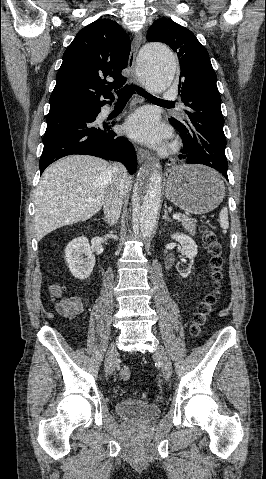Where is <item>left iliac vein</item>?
<instances>
[{"instance_id": "1", "label": "left iliac vein", "mask_w": 266, "mask_h": 479, "mask_svg": "<svg viewBox=\"0 0 266 479\" xmlns=\"http://www.w3.org/2000/svg\"><path fill=\"white\" fill-rule=\"evenodd\" d=\"M155 355L159 358L162 365V373L166 380H170L172 376V364L165 349L159 347L155 351Z\"/></svg>"}]
</instances>
